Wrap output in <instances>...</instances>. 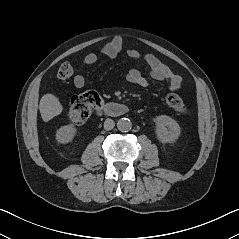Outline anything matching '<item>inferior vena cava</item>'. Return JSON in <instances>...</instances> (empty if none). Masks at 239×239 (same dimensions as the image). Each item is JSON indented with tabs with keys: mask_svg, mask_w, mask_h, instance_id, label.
<instances>
[{
	"mask_svg": "<svg viewBox=\"0 0 239 239\" xmlns=\"http://www.w3.org/2000/svg\"><path fill=\"white\" fill-rule=\"evenodd\" d=\"M114 126H115V122L112 119L107 118L105 120V122H104V129L105 130H111V129L114 128Z\"/></svg>",
	"mask_w": 239,
	"mask_h": 239,
	"instance_id": "inferior-vena-cava-1",
	"label": "inferior vena cava"
}]
</instances>
